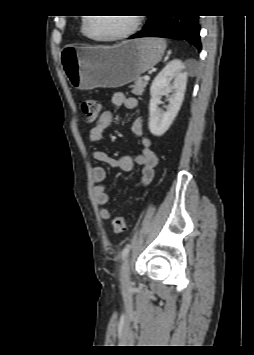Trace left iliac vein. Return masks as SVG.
I'll list each match as a JSON object with an SVG mask.
<instances>
[{"label":"left iliac vein","instance_id":"1","mask_svg":"<svg viewBox=\"0 0 254 355\" xmlns=\"http://www.w3.org/2000/svg\"><path fill=\"white\" fill-rule=\"evenodd\" d=\"M130 281V260L126 258L121 268V283L127 285Z\"/></svg>","mask_w":254,"mask_h":355}]
</instances>
